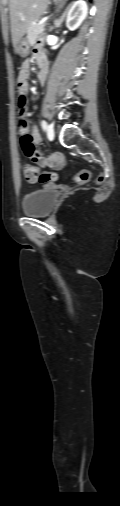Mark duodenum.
<instances>
[{"mask_svg":"<svg viewBox=\"0 0 120 506\" xmlns=\"http://www.w3.org/2000/svg\"><path fill=\"white\" fill-rule=\"evenodd\" d=\"M37 61L38 63L41 64V69H40V74H39V78H43L44 77V67H43V63L45 61V58L44 57H41L40 55L37 57Z\"/></svg>","mask_w":120,"mask_h":506,"instance_id":"1","label":"duodenum"}]
</instances>
